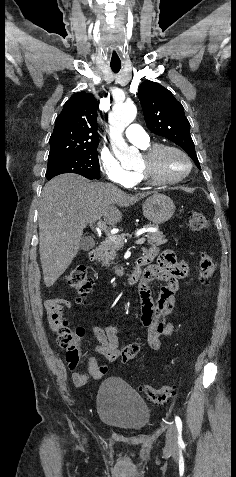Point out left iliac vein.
<instances>
[{"instance_id":"left-iliac-vein-1","label":"left iliac vein","mask_w":236,"mask_h":477,"mask_svg":"<svg viewBox=\"0 0 236 477\" xmlns=\"http://www.w3.org/2000/svg\"><path fill=\"white\" fill-rule=\"evenodd\" d=\"M177 427L172 424L169 426L166 433V446L170 450H175L177 448Z\"/></svg>"}]
</instances>
